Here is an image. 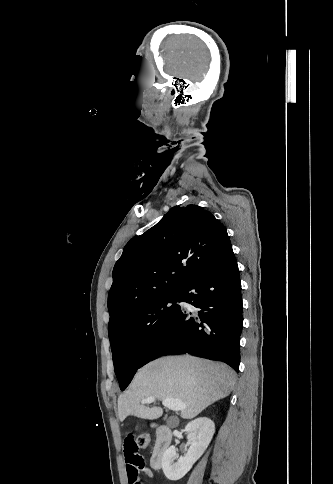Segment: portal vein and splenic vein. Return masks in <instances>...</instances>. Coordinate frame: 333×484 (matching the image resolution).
Masks as SVG:
<instances>
[{"mask_svg":"<svg viewBox=\"0 0 333 484\" xmlns=\"http://www.w3.org/2000/svg\"><path fill=\"white\" fill-rule=\"evenodd\" d=\"M155 397H147L141 401L142 404H150L155 401ZM162 404L173 411H180L186 409V404H184L180 399L166 398L162 401Z\"/></svg>","mask_w":333,"mask_h":484,"instance_id":"1","label":"portal vein and splenic vein"}]
</instances>
